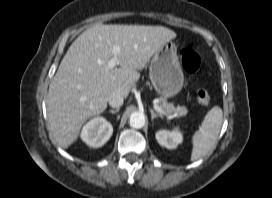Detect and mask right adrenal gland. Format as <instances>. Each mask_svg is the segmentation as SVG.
<instances>
[{"label": "right adrenal gland", "mask_w": 272, "mask_h": 198, "mask_svg": "<svg viewBox=\"0 0 272 198\" xmlns=\"http://www.w3.org/2000/svg\"><path fill=\"white\" fill-rule=\"evenodd\" d=\"M119 112V108H116L115 110H109V113L116 114Z\"/></svg>", "instance_id": "right-adrenal-gland-1"}]
</instances>
